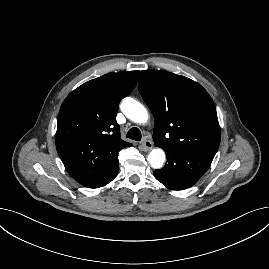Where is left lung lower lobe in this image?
Returning a JSON list of instances; mask_svg holds the SVG:
<instances>
[{"label":"left lung lower lobe","mask_w":269,"mask_h":269,"mask_svg":"<svg viewBox=\"0 0 269 269\" xmlns=\"http://www.w3.org/2000/svg\"><path fill=\"white\" fill-rule=\"evenodd\" d=\"M167 164L154 171L155 178L171 190H183L194 185L208 170L214 153L186 148L165 149Z\"/></svg>","instance_id":"0a47b994"}]
</instances>
